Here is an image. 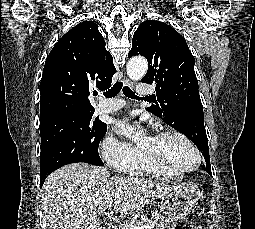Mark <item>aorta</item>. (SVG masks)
<instances>
[{"instance_id": "aorta-1", "label": "aorta", "mask_w": 255, "mask_h": 229, "mask_svg": "<svg viewBox=\"0 0 255 229\" xmlns=\"http://www.w3.org/2000/svg\"><path fill=\"white\" fill-rule=\"evenodd\" d=\"M127 75L133 81L141 80L148 69V63L143 57H134L129 60L127 64ZM141 136L140 132L133 135V139L137 140Z\"/></svg>"}]
</instances>
